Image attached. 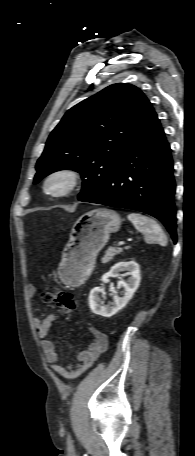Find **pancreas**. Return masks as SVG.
Returning <instances> with one entry per match:
<instances>
[{
	"label": "pancreas",
	"mask_w": 195,
	"mask_h": 456,
	"mask_svg": "<svg viewBox=\"0 0 195 456\" xmlns=\"http://www.w3.org/2000/svg\"><path fill=\"white\" fill-rule=\"evenodd\" d=\"M123 252L122 248L110 247L105 252V255L102 258V263H107L113 259L114 256Z\"/></svg>",
	"instance_id": "cf45deb5"
}]
</instances>
